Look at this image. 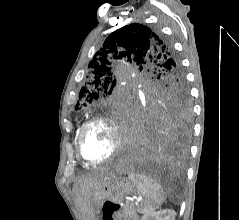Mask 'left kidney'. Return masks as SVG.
Returning <instances> with one entry per match:
<instances>
[{"mask_svg":"<svg viewBox=\"0 0 239 220\" xmlns=\"http://www.w3.org/2000/svg\"><path fill=\"white\" fill-rule=\"evenodd\" d=\"M176 212L172 209L151 211L143 215L141 220H175Z\"/></svg>","mask_w":239,"mask_h":220,"instance_id":"obj_1","label":"left kidney"}]
</instances>
